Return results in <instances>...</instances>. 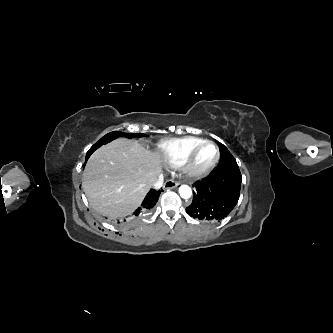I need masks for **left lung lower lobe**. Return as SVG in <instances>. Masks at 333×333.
Returning <instances> with one entry per match:
<instances>
[{
  "mask_svg": "<svg viewBox=\"0 0 333 333\" xmlns=\"http://www.w3.org/2000/svg\"><path fill=\"white\" fill-rule=\"evenodd\" d=\"M242 176L237 164L216 167L193 184V200L187 213L198 220L217 222L229 215L240 196Z\"/></svg>",
  "mask_w": 333,
  "mask_h": 333,
  "instance_id": "obj_1",
  "label": "left lung lower lobe"
}]
</instances>
